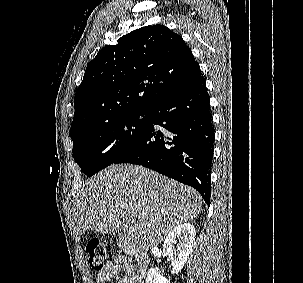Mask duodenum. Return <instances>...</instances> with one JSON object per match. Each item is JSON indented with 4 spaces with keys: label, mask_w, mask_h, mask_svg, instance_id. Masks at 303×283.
<instances>
[{
    "label": "duodenum",
    "mask_w": 303,
    "mask_h": 283,
    "mask_svg": "<svg viewBox=\"0 0 303 283\" xmlns=\"http://www.w3.org/2000/svg\"><path fill=\"white\" fill-rule=\"evenodd\" d=\"M122 245L123 248L128 250L129 252H131L132 257L135 259L138 268H139V273L140 275L143 277H145V274L148 270V266H149V259L147 257V255L139 250H133L128 243L126 242V240L123 238L122 239Z\"/></svg>",
    "instance_id": "obj_1"
}]
</instances>
